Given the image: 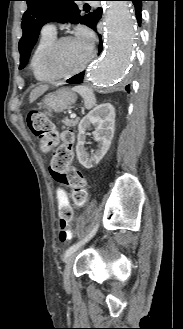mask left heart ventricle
<instances>
[{
    "instance_id": "obj_1",
    "label": "left heart ventricle",
    "mask_w": 183,
    "mask_h": 329,
    "mask_svg": "<svg viewBox=\"0 0 183 329\" xmlns=\"http://www.w3.org/2000/svg\"><path fill=\"white\" fill-rule=\"evenodd\" d=\"M90 48L85 47L75 38L64 42L58 50L54 61V69L58 73H66L79 68L87 60Z\"/></svg>"
}]
</instances>
